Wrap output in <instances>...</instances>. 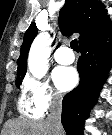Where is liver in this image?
Masks as SVG:
<instances>
[{
	"mask_svg": "<svg viewBox=\"0 0 112 135\" xmlns=\"http://www.w3.org/2000/svg\"><path fill=\"white\" fill-rule=\"evenodd\" d=\"M2 135H53V131L47 120H9L5 123Z\"/></svg>",
	"mask_w": 112,
	"mask_h": 135,
	"instance_id": "6515ba94",
	"label": "liver"
}]
</instances>
